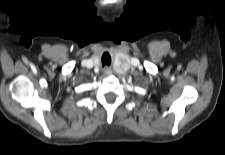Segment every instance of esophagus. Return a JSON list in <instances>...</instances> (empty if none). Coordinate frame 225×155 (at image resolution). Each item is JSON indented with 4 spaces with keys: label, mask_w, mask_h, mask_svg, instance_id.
Segmentation results:
<instances>
[{
    "label": "esophagus",
    "mask_w": 225,
    "mask_h": 155,
    "mask_svg": "<svg viewBox=\"0 0 225 155\" xmlns=\"http://www.w3.org/2000/svg\"><path fill=\"white\" fill-rule=\"evenodd\" d=\"M103 72H104V75H106V76H109L112 74V70L110 67H105Z\"/></svg>",
    "instance_id": "34e87169"
}]
</instances>
